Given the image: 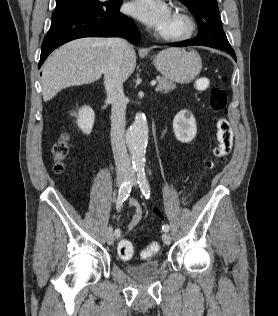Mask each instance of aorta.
<instances>
[{"instance_id":"762f6f07","label":"aorta","mask_w":278,"mask_h":316,"mask_svg":"<svg viewBox=\"0 0 278 316\" xmlns=\"http://www.w3.org/2000/svg\"><path fill=\"white\" fill-rule=\"evenodd\" d=\"M126 143L135 170H144L145 153L148 143V123L144 113H137L135 120L126 132Z\"/></svg>"}]
</instances>
